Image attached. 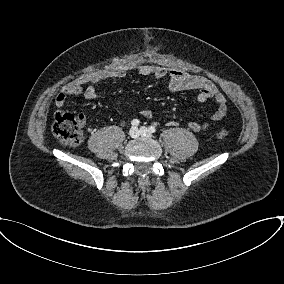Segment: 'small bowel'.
<instances>
[{
    "label": "small bowel",
    "instance_id": "small-bowel-1",
    "mask_svg": "<svg viewBox=\"0 0 284 284\" xmlns=\"http://www.w3.org/2000/svg\"><path fill=\"white\" fill-rule=\"evenodd\" d=\"M139 74L143 76H153L155 78H167L168 87L172 92H183L188 90L197 91V100L206 102L213 100L217 107L210 115L209 121L199 123L190 121L188 126L195 132L205 131L210 128L211 123L223 119L227 114V99L218 87L204 76L193 75L181 70H168L160 66L139 65L136 67ZM129 68L117 67L109 70H98L84 73L73 81L65 84L55 98L56 107H63L69 96L82 95L88 100L97 98L101 84L108 79H122L127 76ZM121 109V105H119ZM142 116L150 118L152 113L148 109L141 110ZM170 126L178 123L174 120L167 122Z\"/></svg>",
    "mask_w": 284,
    "mask_h": 284
}]
</instances>
